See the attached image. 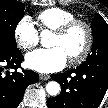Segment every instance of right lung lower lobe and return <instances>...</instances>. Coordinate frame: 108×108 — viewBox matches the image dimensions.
Listing matches in <instances>:
<instances>
[{"instance_id": "obj_1", "label": "right lung lower lobe", "mask_w": 108, "mask_h": 108, "mask_svg": "<svg viewBox=\"0 0 108 108\" xmlns=\"http://www.w3.org/2000/svg\"><path fill=\"white\" fill-rule=\"evenodd\" d=\"M24 57L16 49L0 46V108H17L28 85L39 80L37 73L30 70L18 72ZM9 69H14L9 72Z\"/></svg>"}]
</instances>
